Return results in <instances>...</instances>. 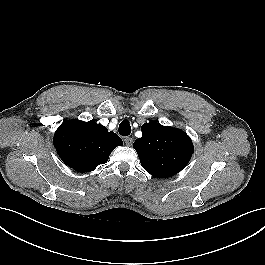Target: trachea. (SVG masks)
Instances as JSON below:
<instances>
[{"instance_id":"obj_1","label":"trachea","mask_w":265,"mask_h":265,"mask_svg":"<svg viewBox=\"0 0 265 265\" xmlns=\"http://www.w3.org/2000/svg\"><path fill=\"white\" fill-rule=\"evenodd\" d=\"M119 133L122 136H129L131 133V126L128 120H123L119 125Z\"/></svg>"}]
</instances>
